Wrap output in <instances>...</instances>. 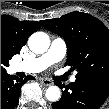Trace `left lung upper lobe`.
<instances>
[{
	"instance_id": "left-lung-upper-lobe-1",
	"label": "left lung upper lobe",
	"mask_w": 109,
	"mask_h": 109,
	"mask_svg": "<svg viewBox=\"0 0 109 109\" xmlns=\"http://www.w3.org/2000/svg\"><path fill=\"white\" fill-rule=\"evenodd\" d=\"M47 30L64 38L66 65L77 69L76 77H98L109 81V29L94 16L71 12L41 21Z\"/></svg>"
}]
</instances>
